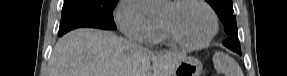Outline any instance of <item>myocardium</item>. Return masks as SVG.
<instances>
[{"mask_svg":"<svg viewBox=\"0 0 287 76\" xmlns=\"http://www.w3.org/2000/svg\"><path fill=\"white\" fill-rule=\"evenodd\" d=\"M187 3H197L201 6H203L208 11V13L210 14L212 25H211V30L208 33V35L199 41H194V42L187 41V40L181 38L177 34V32L173 28L172 24L170 23V21L167 18L161 17L163 29L165 31V34H166L168 40L175 45L182 46L185 48H201V47H204L207 44H209L213 40V38L216 36V34L218 33V30H219L218 15L215 12V10L212 8V6L204 0H176V1L170 2L169 5L172 8H177V7L184 5V4H187Z\"/></svg>","mask_w":287,"mask_h":76,"instance_id":"1","label":"myocardium"}]
</instances>
